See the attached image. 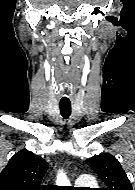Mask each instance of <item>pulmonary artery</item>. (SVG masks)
I'll list each match as a JSON object with an SVG mask.
<instances>
[{"label":"pulmonary artery","mask_w":135,"mask_h":190,"mask_svg":"<svg viewBox=\"0 0 135 190\" xmlns=\"http://www.w3.org/2000/svg\"><path fill=\"white\" fill-rule=\"evenodd\" d=\"M92 182V177L87 174H82L77 177L76 184L77 185H88Z\"/></svg>","instance_id":"obj_1"}]
</instances>
